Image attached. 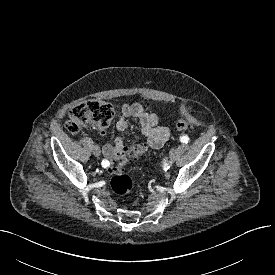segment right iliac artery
Instances as JSON below:
<instances>
[{
    "instance_id": "obj_1",
    "label": "right iliac artery",
    "mask_w": 275,
    "mask_h": 275,
    "mask_svg": "<svg viewBox=\"0 0 275 275\" xmlns=\"http://www.w3.org/2000/svg\"><path fill=\"white\" fill-rule=\"evenodd\" d=\"M101 164H102L103 167H108L110 163H109L108 160L104 159V160H102Z\"/></svg>"
}]
</instances>
